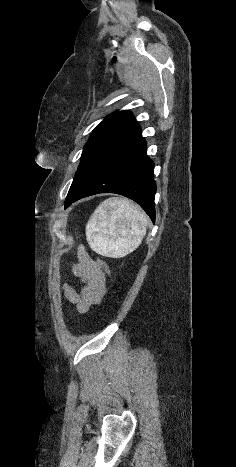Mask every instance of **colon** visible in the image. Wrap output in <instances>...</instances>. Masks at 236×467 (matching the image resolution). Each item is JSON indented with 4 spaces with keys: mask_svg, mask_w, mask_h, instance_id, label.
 <instances>
[{
    "mask_svg": "<svg viewBox=\"0 0 236 467\" xmlns=\"http://www.w3.org/2000/svg\"><path fill=\"white\" fill-rule=\"evenodd\" d=\"M96 261L100 265V267L102 268V270L104 271L106 276L110 277L111 271H110V268H109L108 264L101 258H97Z\"/></svg>",
    "mask_w": 236,
    "mask_h": 467,
    "instance_id": "1",
    "label": "colon"
}]
</instances>
